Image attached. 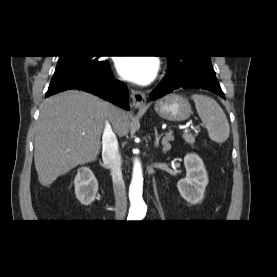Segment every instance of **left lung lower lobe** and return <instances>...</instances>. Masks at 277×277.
<instances>
[{
	"label": "left lung lower lobe",
	"instance_id": "left-lung-lower-lobe-1",
	"mask_svg": "<svg viewBox=\"0 0 277 277\" xmlns=\"http://www.w3.org/2000/svg\"><path fill=\"white\" fill-rule=\"evenodd\" d=\"M180 88H198L211 91L225 98L213 69L191 70L188 72H167L160 84L151 92V100H156Z\"/></svg>",
	"mask_w": 277,
	"mask_h": 277
}]
</instances>
